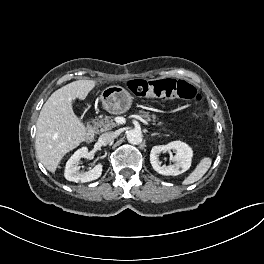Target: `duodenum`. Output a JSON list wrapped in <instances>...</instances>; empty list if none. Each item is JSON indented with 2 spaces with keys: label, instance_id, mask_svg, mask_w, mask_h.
<instances>
[{
  "label": "duodenum",
  "instance_id": "duodenum-1",
  "mask_svg": "<svg viewBox=\"0 0 264 264\" xmlns=\"http://www.w3.org/2000/svg\"><path fill=\"white\" fill-rule=\"evenodd\" d=\"M94 130L92 128H88L85 138L87 142H92L94 139Z\"/></svg>",
  "mask_w": 264,
  "mask_h": 264
}]
</instances>
